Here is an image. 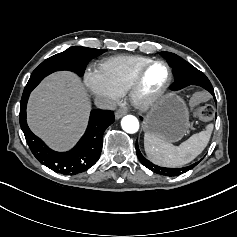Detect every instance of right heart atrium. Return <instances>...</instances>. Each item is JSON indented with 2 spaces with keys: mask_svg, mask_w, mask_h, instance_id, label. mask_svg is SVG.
I'll use <instances>...</instances> for the list:
<instances>
[{
  "mask_svg": "<svg viewBox=\"0 0 237 237\" xmlns=\"http://www.w3.org/2000/svg\"><path fill=\"white\" fill-rule=\"evenodd\" d=\"M84 82L90 94L106 107L113 106L121 96L101 68H89Z\"/></svg>",
  "mask_w": 237,
  "mask_h": 237,
  "instance_id": "d8ad5b80",
  "label": "right heart atrium"
}]
</instances>
